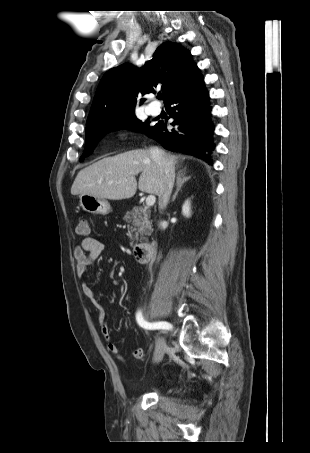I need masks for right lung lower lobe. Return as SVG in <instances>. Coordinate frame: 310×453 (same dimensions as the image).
Wrapping results in <instances>:
<instances>
[{"instance_id":"right-lung-lower-lobe-1","label":"right lung lower lobe","mask_w":310,"mask_h":453,"mask_svg":"<svg viewBox=\"0 0 310 453\" xmlns=\"http://www.w3.org/2000/svg\"><path fill=\"white\" fill-rule=\"evenodd\" d=\"M165 106L176 128L168 131L163 122H158L145 134L165 149L195 155L212 164L214 126L210 121L209 93L198 68L169 96Z\"/></svg>"}]
</instances>
